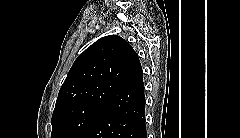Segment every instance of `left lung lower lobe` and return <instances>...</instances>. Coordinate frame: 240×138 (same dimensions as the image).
Returning a JSON list of instances; mask_svg holds the SVG:
<instances>
[{
  "instance_id": "1",
  "label": "left lung lower lobe",
  "mask_w": 240,
  "mask_h": 138,
  "mask_svg": "<svg viewBox=\"0 0 240 138\" xmlns=\"http://www.w3.org/2000/svg\"><path fill=\"white\" fill-rule=\"evenodd\" d=\"M143 72L135 60L86 138H146Z\"/></svg>"
}]
</instances>
